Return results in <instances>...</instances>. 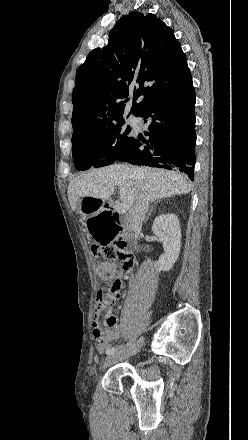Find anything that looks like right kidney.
<instances>
[{
  "label": "right kidney",
  "mask_w": 248,
  "mask_h": 440,
  "mask_svg": "<svg viewBox=\"0 0 248 440\" xmlns=\"http://www.w3.org/2000/svg\"><path fill=\"white\" fill-rule=\"evenodd\" d=\"M152 231L163 243L164 254L154 264L158 272L169 271L176 262L181 249V227L174 214L160 215L155 218Z\"/></svg>",
  "instance_id": "right-kidney-1"
}]
</instances>
